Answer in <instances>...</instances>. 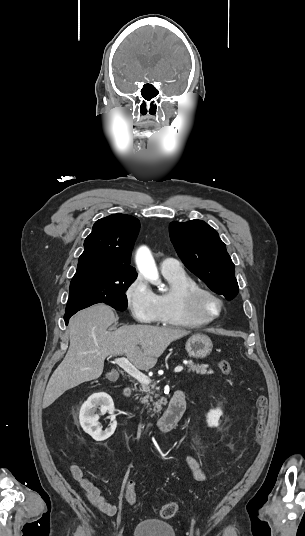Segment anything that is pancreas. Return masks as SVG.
<instances>
[{"instance_id":"1","label":"pancreas","mask_w":305,"mask_h":536,"mask_svg":"<svg viewBox=\"0 0 305 536\" xmlns=\"http://www.w3.org/2000/svg\"><path fill=\"white\" fill-rule=\"evenodd\" d=\"M187 368H189V372H196V374H201V376H204V374H213V370H207L209 368L208 364H194V362H191L189 360L188 364H186ZM159 388H155V384H152V386H147V384H143L141 392H145L146 396L144 398H141L142 404H146V406H149V402H153V398H158L160 394H156L158 392ZM162 400H158V402H153L154 412L156 414H159L161 408ZM154 416V414H152Z\"/></svg>"}]
</instances>
